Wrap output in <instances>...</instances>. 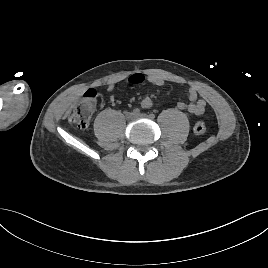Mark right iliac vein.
Instances as JSON below:
<instances>
[{"instance_id": "63e3f726", "label": "right iliac vein", "mask_w": 268, "mask_h": 268, "mask_svg": "<svg viewBox=\"0 0 268 268\" xmlns=\"http://www.w3.org/2000/svg\"><path fill=\"white\" fill-rule=\"evenodd\" d=\"M125 117L128 121H130V120H133L135 118V115L133 113L129 112V113H126Z\"/></svg>"}]
</instances>
